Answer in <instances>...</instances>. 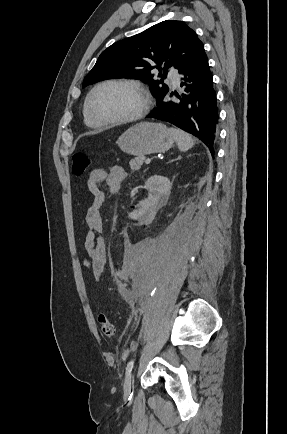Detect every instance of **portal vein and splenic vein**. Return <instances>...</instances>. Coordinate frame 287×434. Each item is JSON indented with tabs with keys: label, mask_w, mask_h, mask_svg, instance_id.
<instances>
[{
	"label": "portal vein and splenic vein",
	"mask_w": 287,
	"mask_h": 434,
	"mask_svg": "<svg viewBox=\"0 0 287 434\" xmlns=\"http://www.w3.org/2000/svg\"><path fill=\"white\" fill-rule=\"evenodd\" d=\"M144 161H145L146 164H150L151 159H150V158H147V159H145Z\"/></svg>",
	"instance_id": "portal-vein-and-splenic-vein-1"
}]
</instances>
